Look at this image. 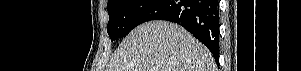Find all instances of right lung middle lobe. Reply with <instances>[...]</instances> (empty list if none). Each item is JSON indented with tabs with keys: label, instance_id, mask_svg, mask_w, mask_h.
I'll list each match as a JSON object with an SVG mask.
<instances>
[{
	"label": "right lung middle lobe",
	"instance_id": "obj_1",
	"mask_svg": "<svg viewBox=\"0 0 301 71\" xmlns=\"http://www.w3.org/2000/svg\"><path fill=\"white\" fill-rule=\"evenodd\" d=\"M157 0H109L107 32L111 41L125 37L139 25L144 12Z\"/></svg>",
	"mask_w": 301,
	"mask_h": 71
}]
</instances>
